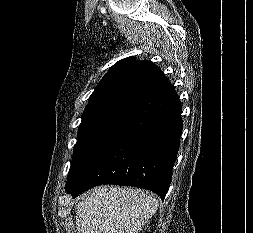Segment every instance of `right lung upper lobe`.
I'll return each instance as SVG.
<instances>
[{"label": "right lung upper lobe", "instance_id": "obj_1", "mask_svg": "<svg viewBox=\"0 0 253 233\" xmlns=\"http://www.w3.org/2000/svg\"><path fill=\"white\" fill-rule=\"evenodd\" d=\"M165 82L166 77L154 63L125 58L105 74L91 94L88 105L117 99L136 102Z\"/></svg>", "mask_w": 253, "mask_h": 233}]
</instances>
